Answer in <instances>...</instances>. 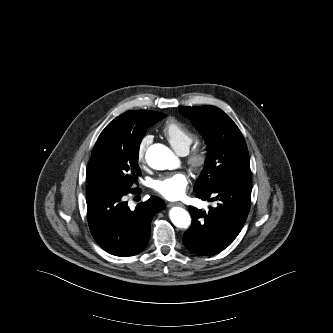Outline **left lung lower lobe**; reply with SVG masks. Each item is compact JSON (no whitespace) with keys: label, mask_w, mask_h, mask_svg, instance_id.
<instances>
[{"label":"left lung lower lobe","mask_w":333,"mask_h":333,"mask_svg":"<svg viewBox=\"0 0 333 333\" xmlns=\"http://www.w3.org/2000/svg\"><path fill=\"white\" fill-rule=\"evenodd\" d=\"M251 190V176H245L196 193L197 198L215 201L217 205L208 212L189 206L192 225L183 236L186 248L200 255H211L228 247L246 221Z\"/></svg>","instance_id":"left-lung-lower-lobe-1"}]
</instances>
